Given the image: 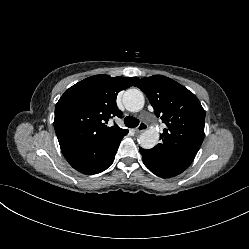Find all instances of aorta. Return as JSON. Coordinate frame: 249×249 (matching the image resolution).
Returning <instances> with one entry per match:
<instances>
[{"mask_svg":"<svg viewBox=\"0 0 249 249\" xmlns=\"http://www.w3.org/2000/svg\"><path fill=\"white\" fill-rule=\"evenodd\" d=\"M145 98L139 89H129L123 95V103L128 111L138 112L144 107ZM159 141V133L155 128L144 131L138 138L144 149L153 148Z\"/></svg>","mask_w":249,"mask_h":249,"instance_id":"obj_1","label":"aorta"}]
</instances>
